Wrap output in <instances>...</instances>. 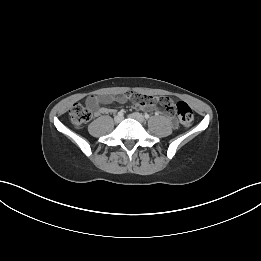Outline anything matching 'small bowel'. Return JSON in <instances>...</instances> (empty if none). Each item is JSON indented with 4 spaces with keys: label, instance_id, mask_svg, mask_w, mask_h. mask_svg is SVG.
<instances>
[{
    "label": "small bowel",
    "instance_id": "small-bowel-1",
    "mask_svg": "<svg viewBox=\"0 0 261 261\" xmlns=\"http://www.w3.org/2000/svg\"><path fill=\"white\" fill-rule=\"evenodd\" d=\"M131 103L135 108H141L145 111H156L165 113L158 107L159 99L156 96H149L147 94L139 93L135 90H130L124 95L111 96V95H101V96H90L86 99L87 107L93 112L95 116H100L102 114L110 113L111 109L105 107V104L111 103ZM168 119L173 126H176L175 119L168 114Z\"/></svg>",
    "mask_w": 261,
    "mask_h": 261
}]
</instances>
